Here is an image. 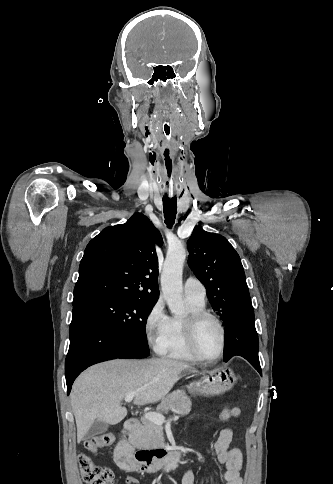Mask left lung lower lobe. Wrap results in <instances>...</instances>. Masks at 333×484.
Wrapping results in <instances>:
<instances>
[{
  "instance_id": "1",
  "label": "left lung lower lobe",
  "mask_w": 333,
  "mask_h": 484,
  "mask_svg": "<svg viewBox=\"0 0 333 484\" xmlns=\"http://www.w3.org/2000/svg\"><path fill=\"white\" fill-rule=\"evenodd\" d=\"M225 326L224 361L238 355L248 360L260 373L259 341L254 323V310L250 301L242 303L230 314Z\"/></svg>"
}]
</instances>
